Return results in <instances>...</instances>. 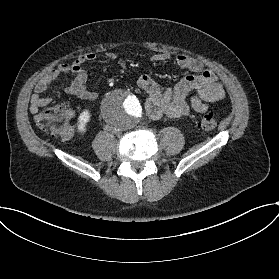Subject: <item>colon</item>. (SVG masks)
Returning <instances> with one entry per match:
<instances>
[{"mask_svg": "<svg viewBox=\"0 0 279 279\" xmlns=\"http://www.w3.org/2000/svg\"><path fill=\"white\" fill-rule=\"evenodd\" d=\"M73 116V109L67 103H58L42 109L35 116L36 124L43 132L59 136L66 139L72 136L73 128L69 124V120ZM217 118L214 113L205 114L199 123V129L207 132L214 129L217 125Z\"/></svg>", "mask_w": 279, "mask_h": 279, "instance_id": "5ec220e1", "label": "colon"}]
</instances>
